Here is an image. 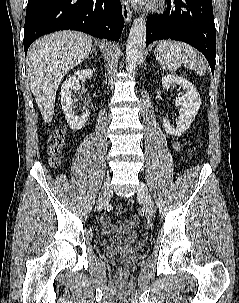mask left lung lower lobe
I'll use <instances>...</instances> for the list:
<instances>
[{"mask_svg": "<svg viewBox=\"0 0 239 303\" xmlns=\"http://www.w3.org/2000/svg\"><path fill=\"white\" fill-rule=\"evenodd\" d=\"M167 4L162 15L147 18L146 46L159 39L186 42L204 54L214 73L216 33L212 0H167Z\"/></svg>", "mask_w": 239, "mask_h": 303, "instance_id": "left-lung-lower-lobe-1", "label": "left lung lower lobe"}]
</instances>
